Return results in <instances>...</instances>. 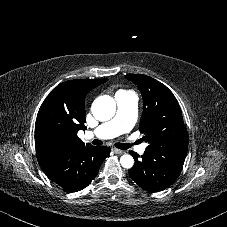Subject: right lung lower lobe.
<instances>
[{"label":"right lung lower lobe","instance_id":"98d812e1","mask_svg":"<svg viewBox=\"0 0 227 227\" xmlns=\"http://www.w3.org/2000/svg\"><path fill=\"white\" fill-rule=\"evenodd\" d=\"M109 153V147L88 144L58 158L42 169L50 180L63 189L76 192L91 183Z\"/></svg>","mask_w":227,"mask_h":227}]
</instances>
